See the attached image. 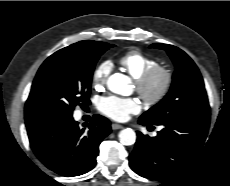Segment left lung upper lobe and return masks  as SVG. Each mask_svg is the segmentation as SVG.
<instances>
[{
	"label": "left lung upper lobe",
	"mask_w": 230,
	"mask_h": 186,
	"mask_svg": "<svg viewBox=\"0 0 230 186\" xmlns=\"http://www.w3.org/2000/svg\"><path fill=\"white\" fill-rule=\"evenodd\" d=\"M164 49L176 70L169 93L140 119L152 125H162L185 117H209L210 107L202 76L192 59L179 48L168 44H152Z\"/></svg>",
	"instance_id": "1"
}]
</instances>
